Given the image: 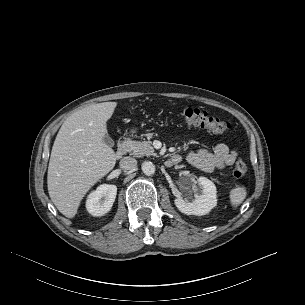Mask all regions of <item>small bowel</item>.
Returning a JSON list of instances; mask_svg holds the SVG:
<instances>
[{
	"label": "small bowel",
	"mask_w": 305,
	"mask_h": 305,
	"mask_svg": "<svg viewBox=\"0 0 305 305\" xmlns=\"http://www.w3.org/2000/svg\"><path fill=\"white\" fill-rule=\"evenodd\" d=\"M181 160L180 155H174ZM237 158V151L230 149L226 144H218L213 150L197 149L190 151L186 160L192 166L205 171L213 172L222 170L234 164Z\"/></svg>",
	"instance_id": "small-bowel-1"
}]
</instances>
